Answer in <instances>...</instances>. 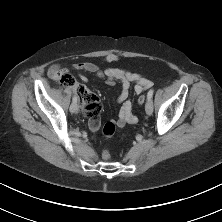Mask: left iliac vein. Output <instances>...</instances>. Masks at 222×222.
Returning a JSON list of instances; mask_svg holds the SVG:
<instances>
[{"instance_id": "obj_1", "label": "left iliac vein", "mask_w": 222, "mask_h": 222, "mask_svg": "<svg viewBox=\"0 0 222 222\" xmlns=\"http://www.w3.org/2000/svg\"><path fill=\"white\" fill-rule=\"evenodd\" d=\"M145 111L147 115H151L153 113V103L151 99H148L145 105Z\"/></svg>"}]
</instances>
